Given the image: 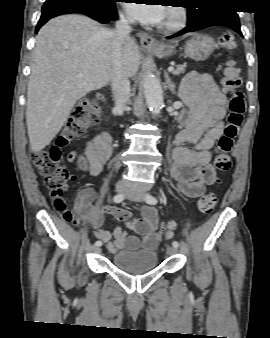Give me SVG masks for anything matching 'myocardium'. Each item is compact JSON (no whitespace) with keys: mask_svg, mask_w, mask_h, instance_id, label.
Segmentation results:
<instances>
[{"mask_svg":"<svg viewBox=\"0 0 270 338\" xmlns=\"http://www.w3.org/2000/svg\"><path fill=\"white\" fill-rule=\"evenodd\" d=\"M168 11L172 12V16L166 22L159 24L158 30L164 33H173L183 29L188 22V11L179 4L168 7Z\"/></svg>","mask_w":270,"mask_h":338,"instance_id":"obj_1","label":"myocardium"}]
</instances>
